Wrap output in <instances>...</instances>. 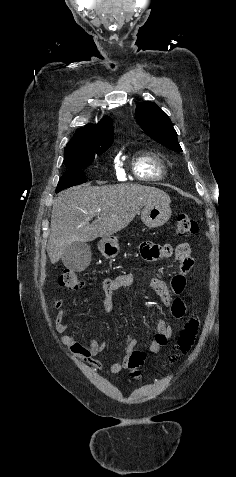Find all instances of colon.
Instances as JSON below:
<instances>
[{"mask_svg": "<svg viewBox=\"0 0 236 477\" xmlns=\"http://www.w3.org/2000/svg\"><path fill=\"white\" fill-rule=\"evenodd\" d=\"M175 229L178 236L187 237L195 235L198 232V224L187 215H179L176 219ZM59 281L62 287L68 289H78L84 285L83 279L76 272L71 270L63 271ZM199 326L200 322L197 318H192L186 323L178 339V347L182 353H187L193 346ZM176 359L177 356H173L171 361L174 362ZM144 360L145 353L142 351H135L130 355L129 367L133 370V376H138L137 369L143 364Z\"/></svg>", "mask_w": 236, "mask_h": 477, "instance_id": "5ec220e1", "label": "colon"}]
</instances>
